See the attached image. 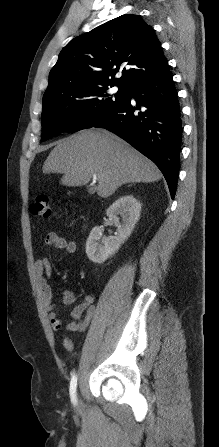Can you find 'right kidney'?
I'll use <instances>...</instances> for the list:
<instances>
[{
  "label": "right kidney",
  "instance_id": "obj_1",
  "mask_svg": "<svg viewBox=\"0 0 219 447\" xmlns=\"http://www.w3.org/2000/svg\"><path fill=\"white\" fill-rule=\"evenodd\" d=\"M141 204L132 195L116 200L106 210L107 217L117 227L116 236L104 237L101 227H94L86 241V254L94 262L101 264L114 255L128 239L140 218ZM118 215L121 216V222ZM101 240V241H100Z\"/></svg>",
  "mask_w": 219,
  "mask_h": 447
}]
</instances>
